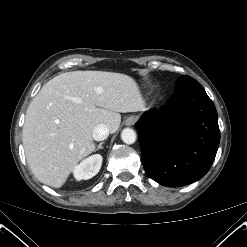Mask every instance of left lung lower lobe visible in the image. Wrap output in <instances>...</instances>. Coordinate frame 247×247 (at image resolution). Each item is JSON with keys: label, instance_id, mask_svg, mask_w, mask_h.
Instances as JSON below:
<instances>
[{"label": "left lung lower lobe", "instance_id": "0a47b994", "mask_svg": "<svg viewBox=\"0 0 247 247\" xmlns=\"http://www.w3.org/2000/svg\"><path fill=\"white\" fill-rule=\"evenodd\" d=\"M135 127L144 169L164 186L201 179L215 159L220 141L217 111L193 78L177 81L167 105L146 112Z\"/></svg>", "mask_w": 247, "mask_h": 247}]
</instances>
